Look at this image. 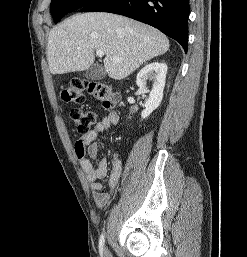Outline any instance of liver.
I'll list each match as a JSON object with an SVG mask.
<instances>
[{
	"mask_svg": "<svg viewBox=\"0 0 247 257\" xmlns=\"http://www.w3.org/2000/svg\"><path fill=\"white\" fill-rule=\"evenodd\" d=\"M168 49L169 40L159 30L127 17L97 12L73 15L54 27L48 37L47 57L52 74H65L87 70L94 63V50H102L106 73L121 80Z\"/></svg>",
	"mask_w": 247,
	"mask_h": 257,
	"instance_id": "liver-1",
	"label": "liver"
}]
</instances>
